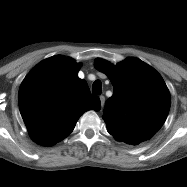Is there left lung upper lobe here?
<instances>
[{"instance_id": "5c2ea615", "label": "left lung upper lobe", "mask_w": 187, "mask_h": 187, "mask_svg": "<svg viewBox=\"0 0 187 187\" xmlns=\"http://www.w3.org/2000/svg\"><path fill=\"white\" fill-rule=\"evenodd\" d=\"M97 70L113 85L106 101L107 131L117 141L138 145L150 139L163 125L170 109V93L160 74L137 58H127L116 66L97 58Z\"/></svg>"}]
</instances>
